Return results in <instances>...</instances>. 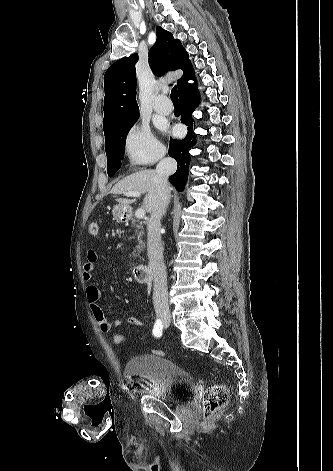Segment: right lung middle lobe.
I'll list each match as a JSON object with an SVG mask.
<instances>
[{"instance_id":"right-lung-middle-lobe-1","label":"right lung middle lobe","mask_w":333,"mask_h":471,"mask_svg":"<svg viewBox=\"0 0 333 471\" xmlns=\"http://www.w3.org/2000/svg\"><path fill=\"white\" fill-rule=\"evenodd\" d=\"M139 115L115 124L104 132L105 149L107 155V172L112 177L121 167V159L124 156L126 136L131 127L136 123Z\"/></svg>"}]
</instances>
